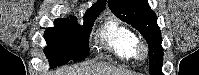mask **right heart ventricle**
<instances>
[{
	"mask_svg": "<svg viewBox=\"0 0 199 75\" xmlns=\"http://www.w3.org/2000/svg\"><path fill=\"white\" fill-rule=\"evenodd\" d=\"M107 47L122 59L134 56L135 37L130 29L117 19H109L100 31Z\"/></svg>",
	"mask_w": 199,
	"mask_h": 75,
	"instance_id": "obj_1",
	"label": "right heart ventricle"
}]
</instances>
